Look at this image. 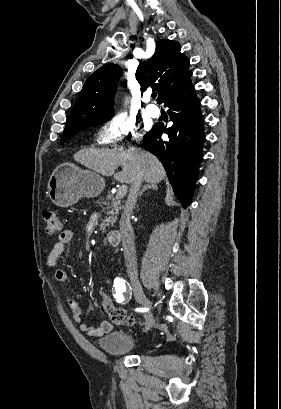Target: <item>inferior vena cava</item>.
<instances>
[{
  "instance_id": "obj_1",
  "label": "inferior vena cava",
  "mask_w": 281,
  "mask_h": 409,
  "mask_svg": "<svg viewBox=\"0 0 281 409\" xmlns=\"http://www.w3.org/2000/svg\"><path fill=\"white\" fill-rule=\"evenodd\" d=\"M137 172L134 174L133 182H131L129 196L131 200H136L139 194V188L143 180V172H140V164H135ZM131 211H125L123 213L120 223L119 231L121 233L122 247L124 251L125 265L127 269V275L130 281H137L138 271H137V259L135 251V237L134 231L130 223Z\"/></svg>"
}]
</instances>
